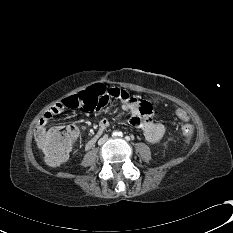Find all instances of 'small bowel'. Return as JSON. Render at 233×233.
I'll return each mask as SVG.
<instances>
[{
  "mask_svg": "<svg viewBox=\"0 0 233 233\" xmlns=\"http://www.w3.org/2000/svg\"><path fill=\"white\" fill-rule=\"evenodd\" d=\"M119 103L121 109L130 115V124L140 128L147 141L156 143L160 141L165 133V126L152 119L155 113L154 105L149 101H142L138 96H132L131 93L119 86L108 88L106 93L102 94L96 102L94 110L99 112L109 103L110 100ZM65 110L64 101H59L46 111L37 124V130L44 129L49 120L59 115ZM109 127L106 119L100 121L98 132L94 134L86 144V149H90L98 139L104 134L103 132Z\"/></svg>",
  "mask_w": 233,
  "mask_h": 233,
  "instance_id": "small-bowel-1",
  "label": "small bowel"
}]
</instances>
